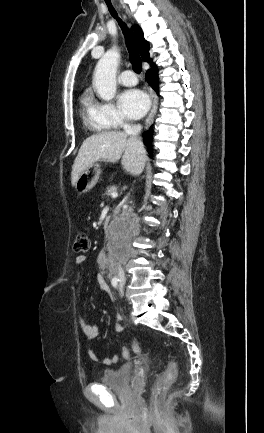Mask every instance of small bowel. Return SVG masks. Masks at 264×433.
<instances>
[{"instance_id":"c3829d8e","label":"small bowel","mask_w":264,"mask_h":433,"mask_svg":"<svg viewBox=\"0 0 264 433\" xmlns=\"http://www.w3.org/2000/svg\"><path fill=\"white\" fill-rule=\"evenodd\" d=\"M87 258L84 255H79L75 258V263L78 267H81L85 264ZM97 283L100 287V289H102L103 291L109 292V287L106 283V281L104 280V278L101 275L97 276ZM120 319V318H119ZM79 324L81 326V329L83 331V333L86 335V337L90 340L96 339L99 336V328L96 324H91L88 323L87 321H85L83 318L79 319ZM117 330L118 331H122V327L120 325L117 326ZM88 355L90 357L91 360L93 361H100V358L98 356L97 353H95L94 351L90 350L88 352ZM118 360V357L116 354H113L109 357H106L103 359V364L105 365H112L115 364Z\"/></svg>"}]
</instances>
